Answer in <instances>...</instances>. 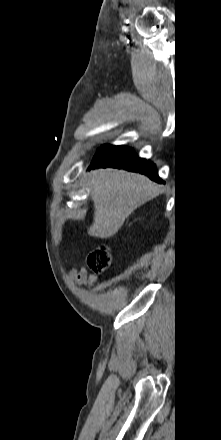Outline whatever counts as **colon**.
<instances>
[{"label": "colon", "instance_id": "5ec220e1", "mask_svg": "<svg viewBox=\"0 0 221 440\" xmlns=\"http://www.w3.org/2000/svg\"><path fill=\"white\" fill-rule=\"evenodd\" d=\"M110 264L111 255L106 247H100L88 256V265L96 272H104Z\"/></svg>", "mask_w": 221, "mask_h": 440}]
</instances>
